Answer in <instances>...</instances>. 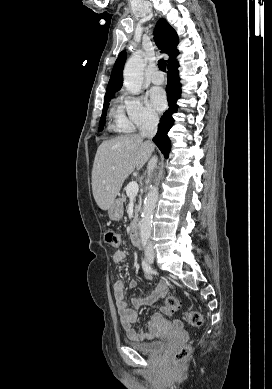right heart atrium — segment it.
Listing matches in <instances>:
<instances>
[{"label":"right heart atrium","mask_w":272,"mask_h":389,"mask_svg":"<svg viewBox=\"0 0 272 389\" xmlns=\"http://www.w3.org/2000/svg\"><path fill=\"white\" fill-rule=\"evenodd\" d=\"M121 106L133 129H147L158 123L157 115L141 97L124 93Z\"/></svg>","instance_id":"right-heart-atrium-1"}]
</instances>
